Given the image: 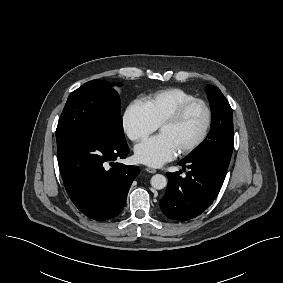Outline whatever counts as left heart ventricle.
Masks as SVG:
<instances>
[{"label":"left heart ventricle","mask_w":283,"mask_h":283,"mask_svg":"<svg viewBox=\"0 0 283 283\" xmlns=\"http://www.w3.org/2000/svg\"><path fill=\"white\" fill-rule=\"evenodd\" d=\"M205 121L204 109L200 105H196L189 110L178 125L163 126L159 129V134L169 138L179 151L199 137Z\"/></svg>","instance_id":"1"}]
</instances>
